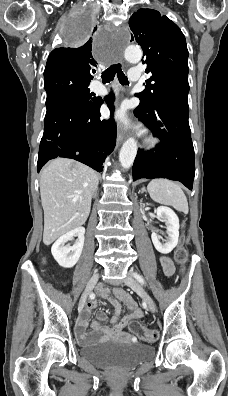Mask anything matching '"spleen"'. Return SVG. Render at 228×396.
Here are the masks:
<instances>
[{"mask_svg":"<svg viewBox=\"0 0 228 396\" xmlns=\"http://www.w3.org/2000/svg\"><path fill=\"white\" fill-rule=\"evenodd\" d=\"M147 190L151 198L164 205H170L177 211L187 214L188 202L187 198L176 183L167 179H153L147 186Z\"/></svg>","mask_w":228,"mask_h":396,"instance_id":"3e777b00","label":"spleen"}]
</instances>
